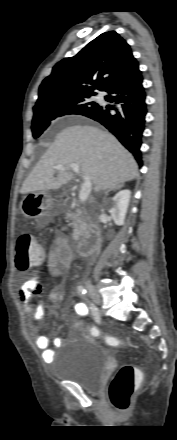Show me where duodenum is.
<instances>
[{"mask_svg":"<svg viewBox=\"0 0 177 440\" xmlns=\"http://www.w3.org/2000/svg\"><path fill=\"white\" fill-rule=\"evenodd\" d=\"M102 239V229L97 223H91L83 238L77 243L80 256H89L98 247Z\"/></svg>","mask_w":177,"mask_h":440,"instance_id":"duodenum-1","label":"duodenum"}]
</instances>
